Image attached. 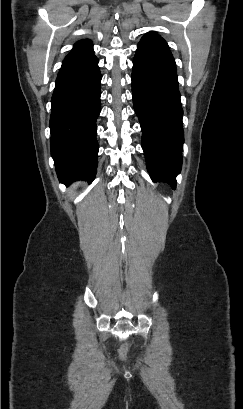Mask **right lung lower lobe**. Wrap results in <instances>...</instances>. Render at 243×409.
Wrapping results in <instances>:
<instances>
[{"instance_id":"98d812e1","label":"right lung lower lobe","mask_w":243,"mask_h":409,"mask_svg":"<svg viewBox=\"0 0 243 409\" xmlns=\"http://www.w3.org/2000/svg\"><path fill=\"white\" fill-rule=\"evenodd\" d=\"M101 73L92 45L70 53L62 63L51 99V156L61 182L96 175Z\"/></svg>"}]
</instances>
